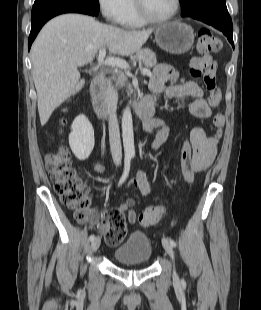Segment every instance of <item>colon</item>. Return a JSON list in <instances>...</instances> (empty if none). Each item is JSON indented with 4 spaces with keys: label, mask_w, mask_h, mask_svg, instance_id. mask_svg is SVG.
Masks as SVG:
<instances>
[{
    "label": "colon",
    "mask_w": 261,
    "mask_h": 310,
    "mask_svg": "<svg viewBox=\"0 0 261 310\" xmlns=\"http://www.w3.org/2000/svg\"><path fill=\"white\" fill-rule=\"evenodd\" d=\"M196 49L200 56L191 59L190 73L193 77L203 78V83L209 93L208 104L216 108L221 102L222 93L217 86L216 63L210 54L221 49V41L210 30L203 28L198 32ZM213 124L216 128L214 137L219 139L223 134L225 124L222 112L214 114ZM191 158L192 147L186 141L181 148V164L184 179L188 183L193 181ZM46 165L54 190L61 202L74 212L77 220L81 222L89 220V191L72 165L68 149L62 146L49 152L46 156ZM164 212L163 206L149 207L138 216V220L143 226H151L158 222ZM100 230L108 245H119L126 236L125 215L117 210L106 212L101 219Z\"/></svg>",
    "instance_id": "5ec220e1"
}]
</instances>
